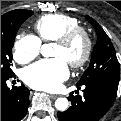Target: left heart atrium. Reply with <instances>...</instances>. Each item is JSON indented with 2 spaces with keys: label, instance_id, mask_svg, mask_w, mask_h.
<instances>
[{
  "label": "left heart atrium",
  "instance_id": "obj_1",
  "mask_svg": "<svg viewBox=\"0 0 121 121\" xmlns=\"http://www.w3.org/2000/svg\"><path fill=\"white\" fill-rule=\"evenodd\" d=\"M68 75L67 61L62 57L41 60L22 73L23 80L29 86L44 91L57 90Z\"/></svg>",
  "mask_w": 121,
  "mask_h": 121
}]
</instances>
